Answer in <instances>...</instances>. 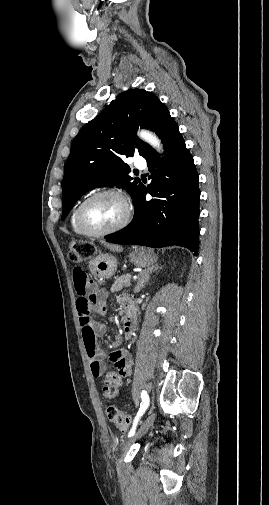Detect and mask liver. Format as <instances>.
<instances>
[{"mask_svg": "<svg viewBox=\"0 0 269 505\" xmlns=\"http://www.w3.org/2000/svg\"><path fill=\"white\" fill-rule=\"evenodd\" d=\"M109 248H110V250L116 251V252L122 251V248L120 246H116V245H111V246H109Z\"/></svg>", "mask_w": 269, "mask_h": 505, "instance_id": "liver-1", "label": "liver"}]
</instances>
